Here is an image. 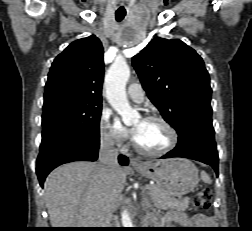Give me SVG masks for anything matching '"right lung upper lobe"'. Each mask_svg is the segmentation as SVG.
I'll list each match as a JSON object with an SVG mask.
<instances>
[{
	"label": "right lung upper lobe",
	"mask_w": 252,
	"mask_h": 231,
	"mask_svg": "<svg viewBox=\"0 0 252 231\" xmlns=\"http://www.w3.org/2000/svg\"><path fill=\"white\" fill-rule=\"evenodd\" d=\"M103 77V47L100 40L95 35L76 40L52 63L44 98L72 95L102 101Z\"/></svg>",
	"instance_id": "right-lung-upper-lobe-1"
}]
</instances>
